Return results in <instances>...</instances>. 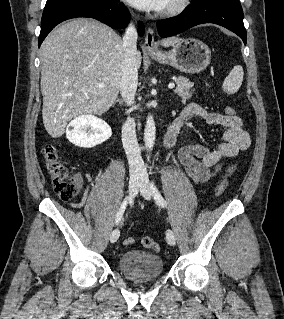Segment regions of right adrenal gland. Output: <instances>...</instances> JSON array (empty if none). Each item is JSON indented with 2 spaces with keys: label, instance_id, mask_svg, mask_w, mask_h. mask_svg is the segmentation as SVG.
I'll use <instances>...</instances> for the list:
<instances>
[{
  "label": "right adrenal gland",
  "instance_id": "1",
  "mask_svg": "<svg viewBox=\"0 0 284 319\" xmlns=\"http://www.w3.org/2000/svg\"><path fill=\"white\" fill-rule=\"evenodd\" d=\"M115 103H119L120 105H122V104H123V100H122V99H117V100L115 101Z\"/></svg>",
  "mask_w": 284,
  "mask_h": 319
}]
</instances>
